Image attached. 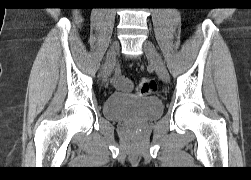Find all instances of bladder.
Listing matches in <instances>:
<instances>
[{"label": "bladder", "mask_w": 251, "mask_h": 180, "mask_svg": "<svg viewBox=\"0 0 251 180\" xmlns=\"http://www.w3.org/2000/svg\"><path fill=\"white\" fill-rule=\"evenodd\" d=\"M163 112L162 101L154 96L110 95L103 105L104 116L113 121H149Z\"/></svg>", "instance_id": "31cf9c89"}]
</instances>
